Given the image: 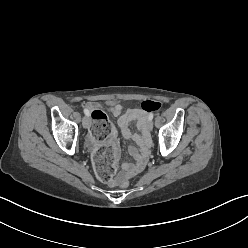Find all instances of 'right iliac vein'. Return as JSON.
<instances>
[{"mask_svg": "<svg viewBox=\"0 0 248 248\" xmlns=\"http://www.w3.org/2000/svg\"><path fill=\"white\" fill-rule=\"evenodd\" d=\"M89 124H90V118H89V116L86 115L82 119V125L84 128H88Z\"/></svg>", "mask_w": 248, "mask_h": 248, "instance_id": "obj_1", "label": "right iliac vein"}]
</instances>
